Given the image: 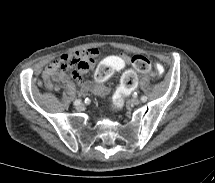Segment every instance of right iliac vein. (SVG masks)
Listing matches in <instances>:
<instances>
[{
  "label": "right iliac vein",
  "mask_w": 215,
  "mask_h": 183,
  "mask_svg": "<svg viewBox=\"0 0 215 183\" xmlns=\"http://www.w3.org/2000/svg\"><path fill=\"white\" fill-rule=\"evenodd\" d=\"M82 107H83V106H82V104H81V103H80L79 105H76V109H77V110H81V109H82Z\"/></svg>",
  "instance_id": "obj_1"
}]
</instances>
